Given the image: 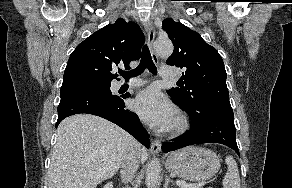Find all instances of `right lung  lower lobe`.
I'll return each mask as SVG.
<instances>
[{
  "instance_id": "1",
  "label": "right lung lower lobe",
  "mask_w": 292,
  "mask_h": 188,
  "mask_svg": "<svg viewBox=\"0 0 292 188\" xmlns=\"http://www.w3.org/2000/svg\"><path fill=\"white\" fill-rule=\"evenodd\" d=\"M58 106V124L66 117L87 113L105 118L120 126L149 148V135L143 128L138 116L127 110L124 99L129 95H110L84 85H62Z\"/></svg>"
}]
</instances>
